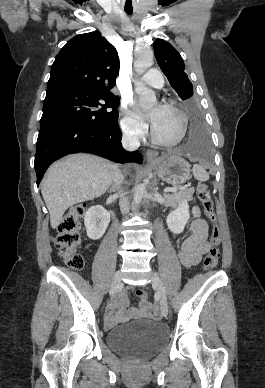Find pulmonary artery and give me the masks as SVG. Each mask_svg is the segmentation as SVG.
Listing matches in <instances>:
<instances>
[{
	"label": "pulmonary artery",
	"instance_id": "1",
	"mask_svg": "<svg viewBox=\"0 0 265 388\" xmlns=\"http://www.w3.org/2000/svg\"><path fill=\"white\" fill-rule=\"evenodd\" d=\"M157 71L155 69H147L146 75L144 77L143 84L145 86H157L158 88L163 85V80L161 75H156Z\"/></svg>",
	"mask_w": 265,
	"mask_h": 388
}]
</instances>
